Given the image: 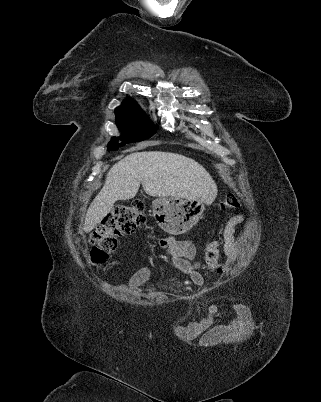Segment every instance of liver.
I'll return each mask as SVG.
<instances>
[{
  "label": "liver",
  "instance_id": "6515ba94",
  "mask_svg": "<svg viewBox=\"0 0 321 402\" xmlns=\"http://www.w3.org/2000/svg\"><path fill=\"white\" fill-rule=\"evenodd\" d=\"M140 184L150 196L203 198L209 204L217 195L214 180L195 160L170 152H133L107 173L103 188L87 210L84 231L91 232L117 200L134 198Z\"/></svg>",
  "mask_w": 321,
  "mask_h": 402
}]
</instances>
